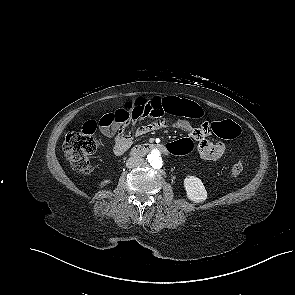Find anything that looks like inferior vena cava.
Segmentation results:
<instances>
[{"label": "inferior vena cava", "instance_id": "obj_1", "mask_svg": "<svg viewBox=\"0 0 295 295\" xmlns=\"http://www.w3.org/2000/svg\"><path fill=\"white\" fill-rule=\"evenodd\" d=\"M143 164H144V160L141 157L131 156L126 162V167L131 169V168L140 167Z\"/></svg>", "mask_w": 295, "mask_h": 295}]
</instances>
